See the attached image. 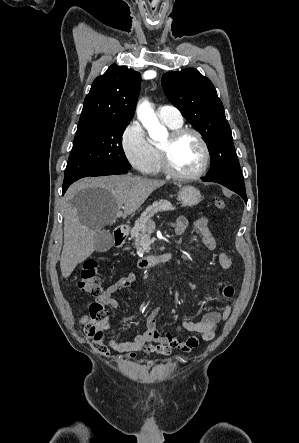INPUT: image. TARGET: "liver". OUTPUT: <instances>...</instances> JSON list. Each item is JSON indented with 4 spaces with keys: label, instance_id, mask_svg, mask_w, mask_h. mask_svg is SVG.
Masks as SVG:
<instances>
[{
    "label": "liver",
    "instance_id": "obj_1",
    "mask_svg": "<svg viewBox=\"0 0 299 443\" xmlns=\"http://www.w3.org/2000/svg\"><path fill=\"white\" fill-rule=\"evenodd\" d=\"M164 184V180L121 175L86 178L72 186L66 194L63 212L62 276L68 278L75 267L94 252L96 232L114 222L121 208L124 216L134 213ZM81 191L85 193L83 199L76 200Z\"/></svg>",
    "mask_w": 299,
    "mask_h": 443
}]
</instances>
